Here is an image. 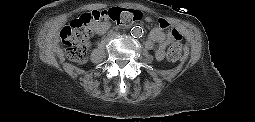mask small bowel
Here are the masks:
<instances>
[{
    "label": "small bowel",
    "mask_w": 255,
    "mask_h": 122,
    "mask_svg": "<svg viewBox=\"0 0 255 122\" xmlns=\"http://www.w3.org/2000/svg\"><path fill=\"white\" fill-rule=\"evenodd\" d=\"M146 21L150 23L152 22V18L148 17L146 18ZM160 22H165L168 26L166 20L162 18L159 19V25L157 27H154L149 32L147 41L145 43V48L147 50L153 49L155 44L159 45L154 52L155 58L157 60H162L164 58L166 46L174 40L173 37L169 34V32L167 34L164 32V29H166V27H162L160 25Z\"/></svg>",
    "instance_id": "1"
}]
</instances>
